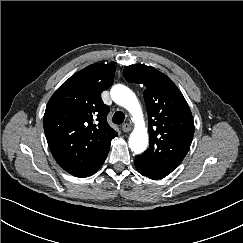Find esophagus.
<instances>
[{"label":"esophagus","instance_id":"1","mask_svg":"<svg viewBox=\"0 0 243 243\" xmlns=\"http://www.w3.org/2000/svg\"><path fill=\"white\" fill-rule=\"evenodd\" d=\"M130 130H131V127H130V125L128 123H125V124L122 125V131L123 132L127 133Z\"/></svg>","mask_w":243,"mask_h":243}]
</instances>
